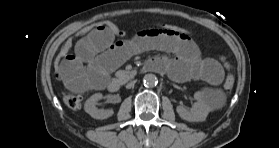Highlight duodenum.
Returning <instances> with one entry per match:
<instances>
[{"label": "duodenum", "mask_w": 279, "mask_h": 148, "mask_svg": "<svg viewBox=\"0 0 279 148\" xmlns=\"http://www.w3.org/2000/svg\"><path fill=\"white\" fill-rule=\"evenodd\" d=\"M144 69H149L148 67V63L146 64V66L144 67ZM121 88V82L117 79H113L109 82L108 84V89L111 91V92H117L119 91Z\"/></svg>", "instance_id": "1"}]
</instances>
